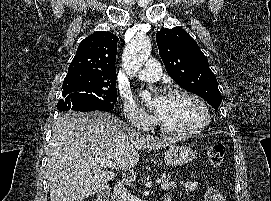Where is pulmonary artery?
I'll list each match as a JSON object with an SVG mask.
<instances>
[{"label":"pulmonary artery","mask_w":271,"mask_h":201,"mask_svg":"<svg viewBox=\"0 0 271 201\" xmlns=\"http://www.w3.org/2000/svg\"><path fill=\"white\" fill-rule=\"evenodd\" d=\"M162 76V69L156 59H149L144 69L138 73V77L147 82H155Z\"/></svg>","instance_id":"obj_1"}]
</instances>
